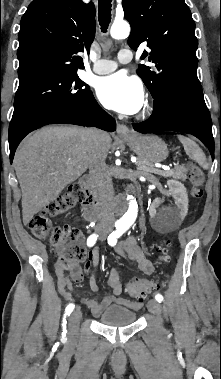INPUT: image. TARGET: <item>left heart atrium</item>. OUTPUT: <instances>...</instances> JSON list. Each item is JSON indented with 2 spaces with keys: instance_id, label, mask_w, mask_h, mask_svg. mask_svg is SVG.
I'll use <instances>...</instances> for the list:
<instances>
[{
  "instance_id": "obj_1",
  "label": "left heart atrium",
  "mask_w": 221,
  "mask_h": 379,
  "mask_svg": "<svg viewBox=\"0 0 221 379\" xmlns=\"http://www.w3.org/2000/svg\"><path fill=\"white\" fill-rule=\"evenodd\" d=\"M96 91L98 99L106 108L123 114L137 113L144 103L141 82L123 72L100 79Z\"/></svg>"
}]
</instances>
